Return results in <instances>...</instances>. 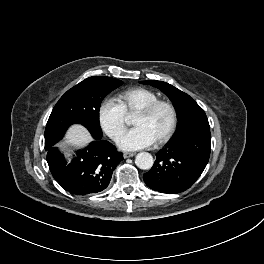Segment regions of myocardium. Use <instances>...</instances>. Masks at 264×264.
<instances>
[{"label": "myocardium", "mask_w": 264, "mask_h": 264, "mask_svg": "<svg viewBox=\"0 0 264 264\" xmlns=\"http://www.w3.org/2000/svg\"><path fill=\"white\" fill-rule=\"evenodd\" d=\"M162 106L166 107L169 111L170 123H169L167 131L160 138L156 140V143L158 144H163L167 142L168 140H170L176 130L177 122H178V115H177V110L174 104L171 101L166 100V99H157L136 113V115L138 116L149 117L159 107H162Z\"/></svg>", "instance_id": "f54148a6"}]
</instances>
